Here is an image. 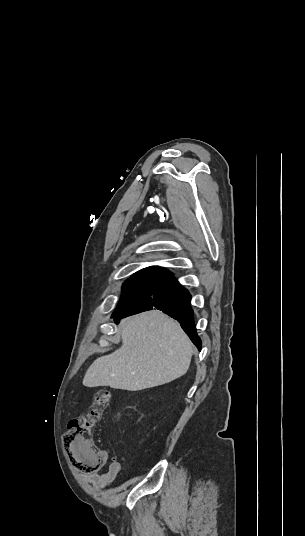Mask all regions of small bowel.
I'll return each mask as SVG.
<instances>
[{"label": "small bowel", "instance_id": "1", "mask_svg": "<svg viewBox=\"0 0 305 536\" xmlns=\"http://www.w3.org/2000/svg\"><path fill=\"white\" fill-rule=\"evenodd\" d=\"M121 464L113 460L106 472L96 474H81V479L85 482L91 483L94 487L103 489L110 486L116 477L121 473Z\"/></svg>", "mask_w": 305, "mask_h": 536}]
</instances>
